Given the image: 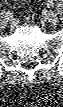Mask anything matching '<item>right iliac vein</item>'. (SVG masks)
Masks as SVG:
<instances>
[{
  "label": "right iliac vein",
  "mask_w": 63,
  "mask_h": 107,
  "mask_svg": "<svg viewBox=\"0 0 63 107\" xmlns=\"http://www.w3.org/2000/svg\"><path fill=\"white\" fill-rule=\"evenodd\" d=\"M7 22H8V20L5 17H2V19H1V26L2 27L6 26Z\"/></svg>",
  "instance_id": "obj_1"
}]
</instances>
